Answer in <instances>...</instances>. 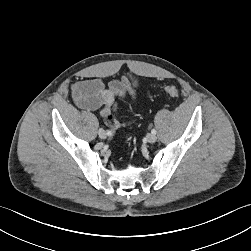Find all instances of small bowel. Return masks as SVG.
I'll return each mask as SVG.
<instances>
[{
  "label": "small bowel",
  "instance_id": "1",
  "mask_svg": "<svg viewBox=\"0 0 251 251\" xmlns=\"http://www.w3.org/2000/svg\"><path fill=\"white\" fill-rule=\"evenodd\" d=\"M139 81L132 76H125L120 80H113L105 85L101 79H86L74 83L71 87L72 97L75 104L86 111H96L100 109L101 116L114 128H119L127 124L129 118L120 117L107 120L108 113L117 111V100L129 97L135 100Z\"/></svg>",
  "mask_w": 251,
  "mask_h": 251
}]
</instances>
